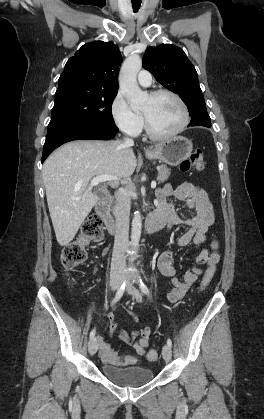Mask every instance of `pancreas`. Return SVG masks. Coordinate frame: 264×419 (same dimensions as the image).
<instances>
[{
  "label": "pancreas",
  "instance_id": "pancreas-1",
  "mask_svg": "<svg viewBox=\"0 0 264 419\" xmlns=\"http://www.w3.org/2000/svg\"><path fill=\"white\" fill-rule=\"evenodd\" d=\"M158 177L157 180L160 183H164L170 176V170L166 165H161L158 167Z\"/></svg>",
  "mask_w": 264,
  "mask_h": 419
}]
</instances>
